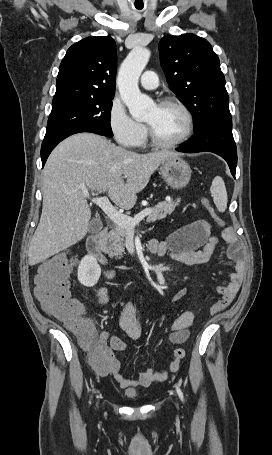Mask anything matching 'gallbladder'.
<instances>
[{
    "label": "gallbladder",
    "mask_w": 272,
    "mask_h": 455,
    "mask_svg": "<svg viewBox=\"0 0 272 455\" xmlns=\"http://www.w3.org/2000/svg\"><path fill=\"white\" fill-rule=\"evenodd\" d=\"M103 225L99 219H94L91 221L89 225V232L90 233H98L102 229Z\"/></svg>",
    "instance_id": "1"
}]
</instances>
